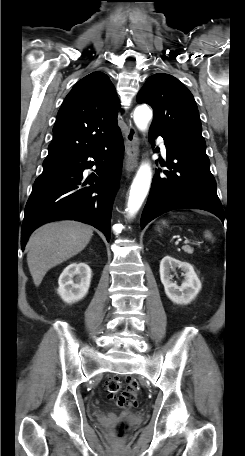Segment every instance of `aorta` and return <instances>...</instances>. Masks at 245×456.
<instances>
[{
    "mask_svg": "<svg viewBox=\"0 0 245 456\" xmlns=\"http://www.w3.org/2000/svg\"><path fill=\"white\" fill-rule=\"evenodd\" d=\"M152 110L147 105H140L134 111V122L136 126L144 131L152 119ZM152 170L148 162L140 165L130 188L127 211L133 217L140 209L150 188Z\"/></svg>",
    "mask_w": 245,
    "mask_h": 456,
    "instance_id": "1",
    "label": "aorta"
}]
</instances>
